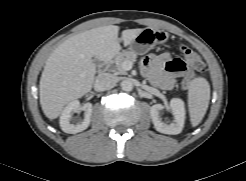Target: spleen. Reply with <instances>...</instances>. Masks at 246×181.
<instances>
[{
    "mask_svg": "<svg viewBox=\"0 0 246 181\" xmlns=\"http://www.w3.org/2000/svg\"><path fill=\"white\" fill-rule=\"evenodd\" d=\"M210 101V84L203 77H197L190 82L187 96L190 121L193 127L203 119Z\"/></svg>",
    "mask_w": 246,
    "mask_h": 181,
    "instance_id": "spleen-1",
    "label": "spleen"
}]
</instances>
